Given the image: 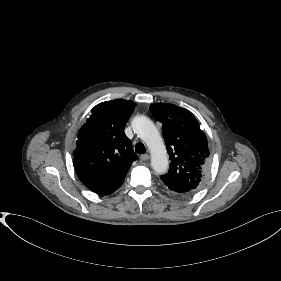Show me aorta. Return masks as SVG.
I'll return each instance as SVG.
<instances>
[{
	"label": "aorta",
	"instance_id": "1",
	"mask_svg": "<svg viewBox=\"0 0 281 281\" xmlns=\"http://www.w3.org/2000/svg\"><path fill=\"white\" fill-rule=\"evenodd\" d=\"M132 127L138 136L147 144L151 152V165L155 172L164 174L169 167L168 155L159 131L146 116H137Z\"/></svg>",
	"mask_w": 281,
	"mask_h": 281
}]
</instances>
